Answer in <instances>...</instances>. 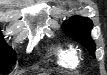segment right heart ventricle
I'll return each mask as SVG.
<instances>
[{"instance_id":"1","label":"right heart ventricle","mask_w":107,"mask_h":75,"mask_svg":"<svg viewBox=\"0 0 107 75\" xmlns=\"http://www.w3.org/2000/svg\"><path fill=\"white\" fill-rule=\"evenodd\" d=\"M55 62L64 68L75 69L79 65L76 49L71 44L56 45L52 49Z\"/></svg>"}]
</instances>
